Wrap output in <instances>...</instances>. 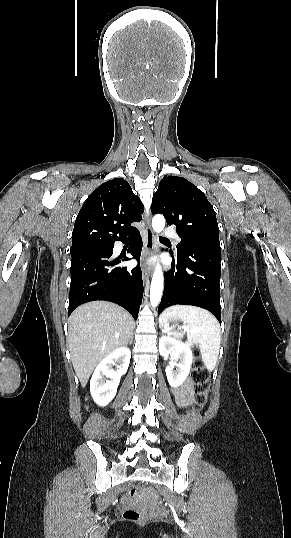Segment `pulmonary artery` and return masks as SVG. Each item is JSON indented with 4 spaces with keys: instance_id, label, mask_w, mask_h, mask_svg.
<instances>
[{
    "instance_id": "1",
    "label": "pulmonary artery",
    "mask_w": 291,
    "mask_h": 538,
    "mask_svg": "<svg viewBox=\"0 0 291 538\" xmlns=\"http://www.w3.org/2000/svg\"><path fill=\"white\" fill-rule=\"evenodd\" d=\"M163 234L165 238H173L176 243L180 242V237L177 235V233L173 229L167 228L164 230Z\"/></svg>"
}]
</instances>
